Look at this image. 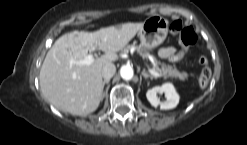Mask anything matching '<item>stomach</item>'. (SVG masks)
Masks as SVG:
<instances>
[{
    "instance_id": "1",
    "label": "stomach",
    "mask_w": 247,
    "mask_h": 145,
    "mask_svg": "<svg viewBox=\"0 0 247 145\" xmlns=\"http://www.w3.org/2000/svg\"><path fill=\"white\" fill-rule=\"evenodd\" d=\"M168 20L154 15L148 17L139 31L140 52L146 54L159 46L168 34Z\"/></svg>"
}]
</instances>
